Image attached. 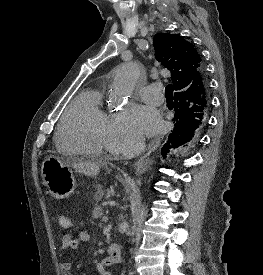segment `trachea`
<instances>
[{"instance_id": "trachea-1", "label": "trachea", "mask_w": 263, "mask_h": 275, "mask_svg": "<svg viewBox=\"0 0 263 275\" xmlns=\"http://www.w3.org/2000/svg\"><path fill=\"white\" fill-rule=\"evenodd\" d=\"M165 95H166V98H172V96H173V87H172L171 84L166 86Z\"/></svg>"}]
</instances>
